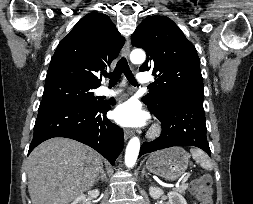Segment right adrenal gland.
<instances>
[{"label": "right adrenal gland", "instance_id": "1", "mask_svg": "<svg viewBox=\"0 0 253 204\" xmlns=\"http://www.w3.org/2000/svg\"><path fill=\"white\" fill-rule=\"evenodd\" d=\"M99 180H102V181H106L107 178H106V173L104 171V169L102 168L101 170V175L97 177L96 179V183L99 181Z\"/></svg>", "mask_w": 253, "mask_h": 204}]
</instances>
